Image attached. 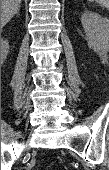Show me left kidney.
Here are the masks:
<instances>
[{"label": "left kidney", "mask_w": 109, "mask_h": 170, "mask_svg": "<svg viewBox=\"0 0 109 170\" xmlns=\"http://www.w3.org/2000/svg\"><path fill=\"white\" fill-rule=\"evenodd\" d=\"M81 23L90 48L100 55H106L109 44V21L95 12H85Z\"/></svg>", "instance_id": "obj_1"}]
</instances>
